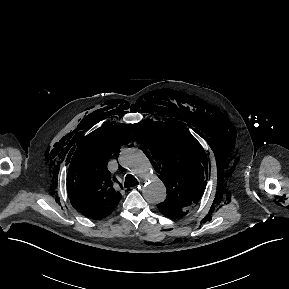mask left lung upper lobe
Listing matches in <instances>:
<instances>
[{"instance_id":"left-lung-upper-lobe-1","label":"left lung upper lobe","mask_w":289,"mask_h":289,"mask_svg":"<svg viewBox=\"0 0 289 289\" xmlns=\"http://www.w3.org/2000/svg\"><path fill=\"white\" fill-rule=\"evenodd\" d=\"M141 149H146L167 188L158 208L187 214L202 197L208 175L206 154L199 142L180 124L145 120L138 124Z\"/></svg>"}]
</instances>
